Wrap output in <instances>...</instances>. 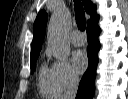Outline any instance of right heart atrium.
<instances>
[{"label":"right heart atrium","mask_w":128,"mask_h":99,"mask_svg":"<svg viewBox=\"0 0 128 99\" xmlns=\"http://www.w3.org/2000/svg\"><path fill=\"white\" fill-rule=\"evenodd\" d=\"M51 71L60 93L76 87L79 82L78 75L66 60L55 61L51 67Z\"/></svg>","instance_id":"1"}]
</instances>
